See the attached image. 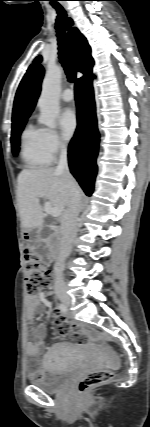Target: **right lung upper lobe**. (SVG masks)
<instances>
[{"instance_id":"cb5924a9","label":"right lung upper lobe","mask_w":150,"mask_h":427,"mask_svg":"<svg viewBox=\"0 0 150 427\" xmlns=\"http://www.w3.org/2000/svg\"><path fill=\"white\" fill-rule=\"evenodd\" d=\"M68 42L77 70L84 73V76L78 80L91 77L94 62L86 38L76 27H73L68 32ZM43 74L44 69L41 65L32 64L28 68L15 96L12 115L13 123L27 119L30 116L40 94Z\"/></svg>"}]
</instances>
